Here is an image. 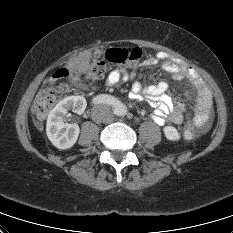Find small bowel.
<instances>
[{
	"mask_svg": "<svg viewBox=\"0 0 233 233\" xmlns=\"http://www.w3.org/2000/svg\"><path fill=\"white\" fill-rule=\"evenodd\" d=\"M75 64L77 70L83 72L87 68L88 58L86 56H80L75 60ZM157 64H161V66L169 72L174 79L187 80L192 85L197 95V104L191 118V124L200 132H205L208 128L211 115L212 95L203 79L195 70L174 61L163 51L149 56L142 65L145 67H152ZM128 80V72L124 68H119L112 70L108 74L106 84L108 86H115L120 83H125ZM73 81L78 82L79 76L75 75ZM167 90V81H161L157 84L146 86H143L140 82L136 81L131 90L132 98L145 97L151 101L155 108L151 118L160 126L168 123L179 124L184 118V102L180 99L172 98L167 93Z\"/></svg>",
	"mask_w": 233,
	"mask_h": 233,
	"instance_id": "1",
	"label": "small bowel"
}]
</instances>
